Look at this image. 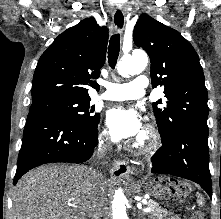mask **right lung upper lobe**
<instances>
[{"label":"right lung upper lobe","instance_id":"1","mask_svg":"<svg viewBox=\"0 0 221 219\" xmlns=\"http://www.w3.org/2000/svg\"><path fill=\"white\" fill-rule=\"evenodd\" d=\"M108 30L94 17L60 34L42 54L35 69L32 102L47 98L90 99L88 87L105 63Z\"/></svg>","mask_w":221,"mask_h":219}]
</instances>
